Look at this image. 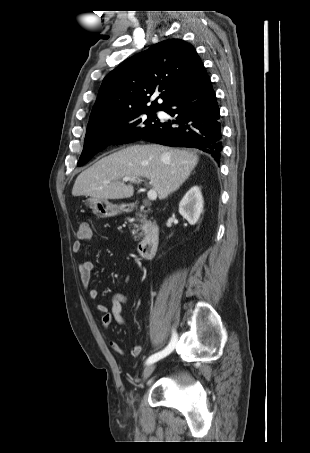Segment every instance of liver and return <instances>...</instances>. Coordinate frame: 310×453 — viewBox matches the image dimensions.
<instances>
[{
	"label": "liver",
	"instance_id": "1",
	"mask_svg": "<svg viewBox=\"0 0 310 453\" xmlns=\"http://www.w3.org/2000/svg\"><path fill=\"white\" fill-rule=\"evenodd\" d=\"M198 159L193 152L157 144L129 146L81 172L74 183L72 195L105 200L130 198L134 188L121 182V178L143 177L149 180L159 199L163 200L185 182Z\"/></svg>",
	"mask_w": 310,
	"mask_h": 453
}]
</instances>
